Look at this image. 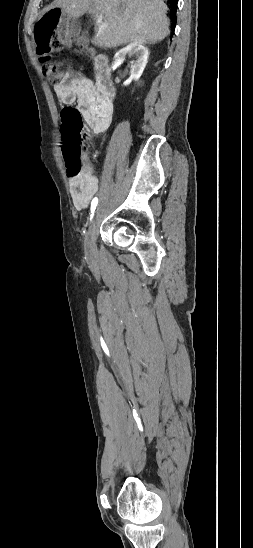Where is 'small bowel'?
Segmentation results:
<instances>
[{
    "label": "small bowel",
    "mask_w": 253,
    "mask_h": 548,
    "mask_svg": "<svg viewBox=\"0 0 253 548\" xmlns=\"http://www.w3.org/2000/svg\"><path fill=\"white\" fill-rule=\"evenodd\" d=\"M54 91L63 105L76 104L91 136H96L108 128L113 115L112 100L103 95L82 73L68 71L62 81L54 87ZM69 186L75 209H87L92 197L99 190V179L87 157L84 159L81 173L69 176Z\"/></svg>",
    "instance_id": "small-bowel-1"
}]
</instances>
